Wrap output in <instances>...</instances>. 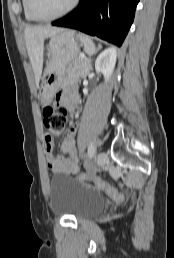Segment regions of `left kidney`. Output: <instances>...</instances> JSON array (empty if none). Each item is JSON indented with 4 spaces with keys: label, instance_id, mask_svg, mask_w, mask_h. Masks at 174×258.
Returning <instances> with one entry per match:
<instances>
[{
    "label": "left kidney",
    "instance_id": "1",
    "mask_svg": "<svg viewBox=\"0 0 174 258\" xmlns=\"http://www.w3.org/2000/svg\"><path fill=\"white\" fill-rule=\"evenodd\" d=\"M117 59V50L115 47L105 49L97 57L95 69L104 75L105 81H108L113 73Z\"/></svg>",
    "mask_w": 174,
    "mask_h": 258
}]
</instances>
